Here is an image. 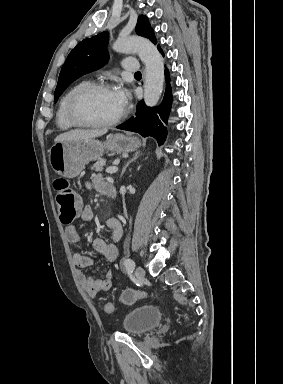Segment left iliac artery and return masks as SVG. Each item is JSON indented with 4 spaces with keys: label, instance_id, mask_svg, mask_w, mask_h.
<instances>
[{
    "label": "left iliac artery",
    "instance_id": "1",
    "mask_svg": "<svg viewBox=\"0 0 283 384\" xmlns=\"http://www.w3.org/2000/svg\"><path fill=\"white\" fill-rule=\"evenodd\" d=\"M124 265L128 273H132L135 268V262L132 259H126Z\"/></svg>",
    "mask_w": 283,
    "mask_h": 384
}]
</instances>
